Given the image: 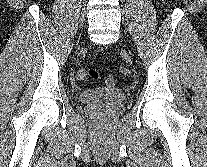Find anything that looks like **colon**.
Segmentation results:
<instances>
[{"mask_svg": "<svg viewBox=\"0 0 207 167\" xmlns=\"http://www.w3.org/2000/svg\"><path fill=\"white\" fill-rule=\"evenodd\" d=\"M120 75L123 77H127L130 74V71L126 67L120 68ZM76 77L80 81H85L88 78L96 79L98 77V72L92 68H80L76 72ZM105 83L108 87H113L116 83V80L113 76H109L106 78Z\"/></svg>", "mask_w": 207, "mask_h": 167, "instance_id": "obj_1", "label": "colon"}]
</instances>
